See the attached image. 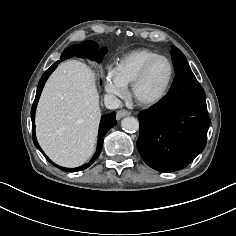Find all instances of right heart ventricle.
Masks as SVG:
<instances>
[{"label": "right heart ventricle", "instance_id": "right-heart-ventricle-1", "mask_svg": "<svg viewBox=\"0 0 236 236\" xmlns=\"http://www.w3.org/2000/svg\"><path fill=\"white\" fill-rule=\"evenodd\" d=\"M158 55L157 52L147 48L132 50L117 59L112 72L127 87L131 85L144 64Z\"/></svg>", "mask_w": 236, "mask_h": 236}]
</instances>
